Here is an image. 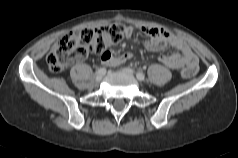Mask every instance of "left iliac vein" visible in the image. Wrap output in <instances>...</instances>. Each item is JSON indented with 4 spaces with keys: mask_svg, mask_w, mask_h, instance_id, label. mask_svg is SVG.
<instances>
[{
    "mask_svg": "<svg viewBox=\"0 0 238 158\" xmlns=\"http://www.w3.org/2000/svg\"><path fill=\"white\" fill-rule=\"evenodd\" d=\"M123 72L129 75H134V71L130 68H123Z\"/></svg>",
    "mask_w": 238,
    "mask_h": 158,
    "instance_id": "left-iliac-vein-1",
    "label": "left iliac vein"
}]
</instances>
